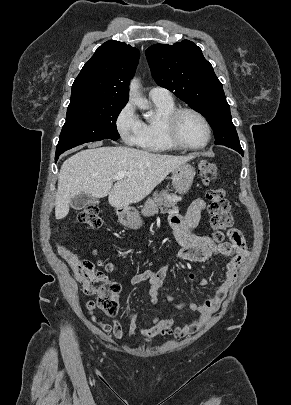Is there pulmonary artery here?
<instances>
[{
	"label": "pulmonary artery",
	"mask_w": 291,
	"mask_h": 405,
	"mask_svg": "<svg viewBox=\"0 0 291 405\" xmlns=\"http://www.w3.org/2000/svg\"><path fill=\"white\" fill-rule=\"evenodd\" d=\"M149 97L152 100L170 101L172 95L169 90L160 86H154L149 91Z\"/></svg>",
	"instance_id": "e3ab8cb5"
}]
</instances>
